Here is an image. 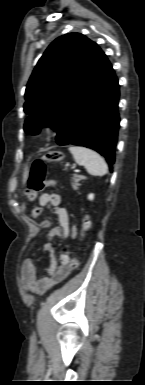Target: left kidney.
<instances>
[{"label": "left kidney", "mask_w": 145, "mask_h": 385, "mask_svg": "<svg viewBox=\"0 0 145 385\" xmlns=\"http://www.w3.org/2000/svg\"><path fill=\"white\" fill-rule=\"evenodd\" d=\"M88 199H89V200H93V199H94V195H93V194H89V195H88Z\"/></svg>", "instance_id": "left-kidney-1"}]
</instances>
